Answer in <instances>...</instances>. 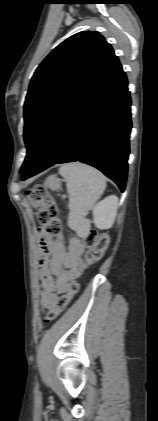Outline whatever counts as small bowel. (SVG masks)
Listing matches in <instances>:
<instances>
[{
	"instance_id": "obj_1",
	"label": "small bowel",
	"mask_w": 158,
	"mask_h": 421,
	"mask_svg": "<svg viewBox=\"0 0 158 421\" xmlns=\"http://www.w3.org/2000/svg\"><path fill=\"white\" fill-rule=\"evenodd\" d=\"M83 252L84 246L78 238H72L65 246L54 237L39 233L40 294L46 309L54 307L67 292L69 280L79 273Z\"/></svg>"
}]
</instances>
